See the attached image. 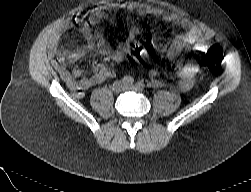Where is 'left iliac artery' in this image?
Returning a JSON list of instances; mask_svg holds the SVG:
<instances>
[{"label":"left iliac artery","instance_id":"44dca946","mask_svg":"<svg viewBox=\"0 0 251 192\" xmlns=\"http://www.w3.org/2000/svg\"><path fill=\"white\" fill-rule=\"evenodd\" d=\"M135 86H136V90H138V91H142L145 88V84L143 82H138V83H136Z\"/></svg>","mask_w":251,"mask_h":192}]
</instances>
